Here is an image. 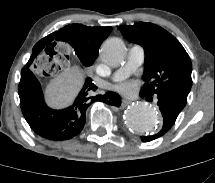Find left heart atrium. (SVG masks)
Wrapping results in <instances>:
<instances>
[{
  "label": "left heart atrium",
  "instance_id": "1",
  "mask_svg": "<svg viewBox=\"0 0 215 183\" xmlns=\"http://www.w3.org/2000/svg\"><path fill=\"white\" fill-rule=\"evenodd\" d=\"M116 90H118L119 92L125 95H133L135 93L136 88L133 82L126 81L117 85Z\"/></svg>",
  "mask_w": 215,
  "mask_h": 183
}]
</instances>
